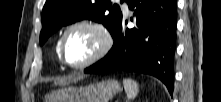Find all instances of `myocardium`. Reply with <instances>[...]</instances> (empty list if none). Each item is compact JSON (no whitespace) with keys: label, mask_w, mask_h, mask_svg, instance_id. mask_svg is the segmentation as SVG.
I'll list each match as a JSON object with an SVG mask.
<instances>
[{"label":"myocardium","mask_w":221,"mask_h":102,"mask_svg":"<svg viewBox=\"0 0 221 102\" xmlns=\"http://www.w3.org/2000/svg\"><path fill=\"white\" fill-rule=\"evenodd\" d=\"M78 28H86L94 32L98 38V47L96 51L84 62L79 63V64H71L65 58L64 45H65V41L69 33ZM113 41H114L113 35L111 31L109 30V28L104 23L100 21L92 20V19L77 20L71 23L64 30L59 40V46H58L59 59L62 62V64L66 65L67 67H70L72 69H84L95 64L96 62L101 60L103 57H105L106 54L112 48Z\"/></svg>","instance_id":"obj_1"}]
</instances>
